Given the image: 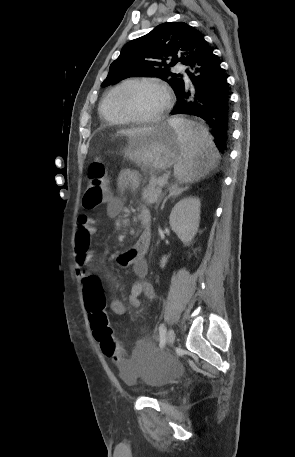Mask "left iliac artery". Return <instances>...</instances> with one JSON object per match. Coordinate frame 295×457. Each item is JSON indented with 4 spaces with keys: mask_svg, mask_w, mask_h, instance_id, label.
<instances>
[{
    "mask_svg": "<svg viewBox=\"0 0 295 457\" xmlns=\"http://www.w3.org/2000/svg\"><path fill=\"white\" fill-rule=\"evenodd\" d=\"M159 335H160V347H163L166 342V327L164 324H160L159 326Z\"/></svg>",
    "mask_w": 295,
    "mask_h": 457,
    "instance_id": "obj_1",
    "label": "left iliac artery"
}]
</instances>
